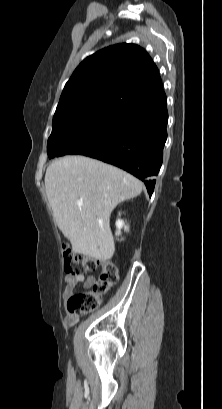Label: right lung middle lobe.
I'll list each match as a JSON object with an SVG mask.
<instances>
[{
  "mask_svg": "<svg viewBox=\"0 0 222 409\" xmlns=\"http://www.w3.org/2000/svg\"><path fill=\"white\" fill-rule=\"evenodd\" d=\"M120 107L117 103L103 102L68 107L55 112L47 145L48 156L87 155L96 150L103 142Z\"/></svg>",
  "mask_w": 222,
  "mask_h": 409,
  "instance_id": "obj_1",
  "label": "right lung middle lobe"
}]
</instances>
